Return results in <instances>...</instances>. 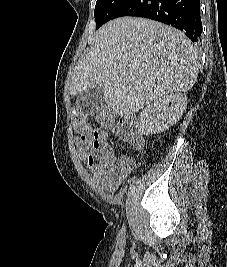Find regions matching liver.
Here are the masks:
<instances>
[{
  "label": "liver",
  "instance_id": "6515ba94",
  "mask_svg": "<svg viewBox=\"0 0 227 267\" xmlns=\"http://www.w3.org/2000/svg\"><path fill=\"white\" fill-rule=\"evenodd\" d=\"M198 72V51L183 32L149 19L122 17L95 33L69 90L75 96L103 87L109 109L130 116L164 95L190 90Z\"/></svg>",
  "mask_w": 227,
  "mask_h": 267
}]
</instances>
